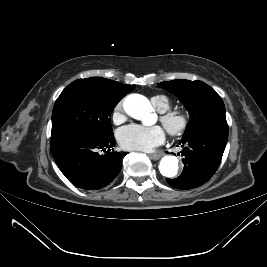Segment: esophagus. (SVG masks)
Masks as SVG:
<instances>
[{"mask_svg":"<svg viewBox=\"0 0 267 267\" xmlns=\"http://www.w3.org/2000/svg\"><path fill=\"white\" fill-rule=\"evenodd\" d=\"M163 155H164L163 152H157V153L150 154L149 156H150L151 159H153V160H158V159H160Z\"/></svg>","mask_w":267,"mask_h":267,"instance_id":"34e87169","label":"esophagus"}]
</instances>
